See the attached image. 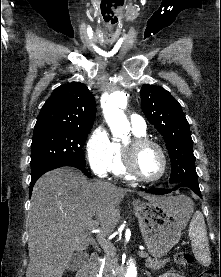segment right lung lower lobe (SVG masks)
Returning <instances> with one entry per match:
<instances>
[{
    "label": "right lung lower lobe",
    "instance_id": "1",
    "mask_svg": "<svg viewBox=\"0 0 221 277\" xmlns=\"http://www.w3.org/2000/svg\"><path fill=\"white\" fill-rule=\"evenodd\" d=\"M66 166H72V167L78 168V169L81 170L87 177H90V174L88 173V171L86 170V168H85L84 166H80V165H77V164H69V165H66ZM38 178H39V177H37V178H32V180H31V184H30V195H31L33 186H34V184H35V182L37 181Z\"/></svg>",
    "mask_w": 221,
    "mask_h": 277
}]
</instances>
